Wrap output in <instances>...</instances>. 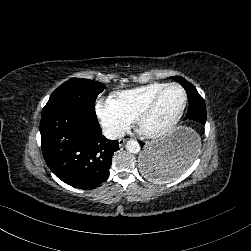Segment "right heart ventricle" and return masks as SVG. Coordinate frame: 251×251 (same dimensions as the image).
<instances>
[{
    "mask_svg": "<svg viewBox=\"0 0 251 251\" xmlns=\"http://www.w3.org/2000/svg\"><path fill=\"white\" fill-rule=\"evenodd\" d=\"M167 83L151 82L118 93V101L132 115L137 116L141 108Z\"/></svg>",
    "mask_w": 251,
    "mask_h": 251,
    "instance_id": "1",
    "label": "right heart ventricle"
}]
</instances>
